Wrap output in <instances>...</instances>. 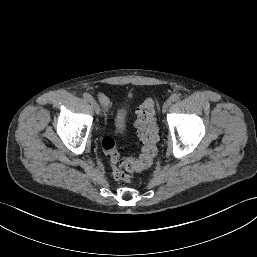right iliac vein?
<instances>
[{"label":"right iliac vein","instance_id":"63e3f726","mask_svg":"<svg viewBox=\"0 0 257 257\" xmlns=\"http://www.w3.org/2000/svg\"><path fill=\"white\" fill-rule=\"evenodd\" d=\"M91 105H92L94 111L96 112V114H99V112H100V107H99V104L97 103V101L94 100V99H92V100H91Z\"/></svg>","mask_w":257,"mask_h":257}]
</instances>
